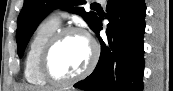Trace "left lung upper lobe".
<instances>
[{
	"instance_id": "obj_1",
	"label": "left lung upper lobe",
	"mask_w": 173,
	"mask_h": 91,
	"mask_svg": "<svg viewBox=\"0 0 173 91\" xmlns=\"http://www.w3.org/2000/svg\"><path fill=\"white\" fill-rule=\"evenodd\" d=\"M83 4H85L84 0H24V6L17 20L18 55L23 54L31 35L41 20L55 8H64L69 12L82 15L90 27L94 29L98 21L97 14L91 11L85 12Z\"/></svg>"
}]
</instances>
